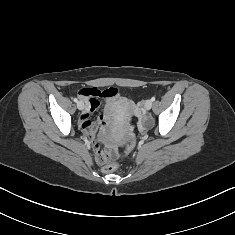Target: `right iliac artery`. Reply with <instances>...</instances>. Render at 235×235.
Listing matches in <instances>:
<instances>
[{"mask_svg": "<svg viewBox=\"0 0 235 235\" xmlns=\"http://www.w3.org/2000/svg\"><path fill=\"white\" fill-rule=\"evenodd\" d=\"M73 100H74V102H78V99H77V98H74Z\"/></svg>", "mask_w": 235, "mask_h": 235, "instance_id": "obj_1", "label": "right iliac artery"}]
</instances>
